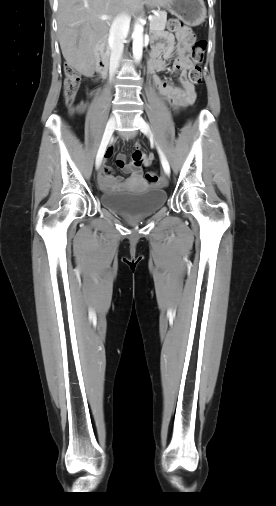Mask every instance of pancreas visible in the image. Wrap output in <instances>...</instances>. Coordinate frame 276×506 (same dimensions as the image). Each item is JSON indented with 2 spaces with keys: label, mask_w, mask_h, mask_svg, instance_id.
<instances>
[{
  "label": "pancreas",
  "mask_w": 276,
  "mask_h": 506,
  "mask_svg": "<svg viewBox=\"0 0 276 506\" xmlns=\"http://www.w3.org/2000/svg\"><path fill=\"white\" fill-rule=\"evenodd\" d=\"M167 22V13L165 11H159V15L153 16L152 21H150V31L157 32L163 31L165 29Z\"/></svg>",
  "instance_id": "cf45deb5"
}]
</instances>
